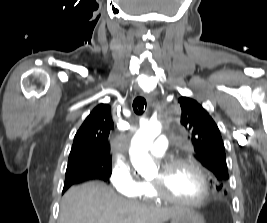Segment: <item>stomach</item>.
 <instances>
[{"label": "stomach", "instance_id": "1", "mask_svg": "<svg viewBox=\"0 0 267 223\" xmlns=\"http://www.w3.org/2000/svg\"><path fill=\"white\" fill-rule=\"evenodd\" d=\"M170 223H204V218L189 208H182V211L170 219Z\"/></svg>", "mask_w": 267, "mask_h": 223}]
</instances>
